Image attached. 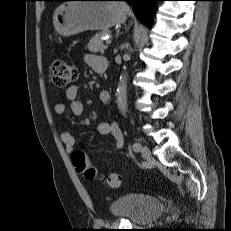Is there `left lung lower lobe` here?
<instances>
[{"label": "left lung lower lobe", "mask_w": 231, "mask_h": 231, "mask_svg": "<svg viewBox=\"0 0 231 231\" xmlns=\"http://www.w3.org/2000/svg\"><path fill=\"white\" fill-rule=\"evenodd\" d=\"M64 1V0H60ZM120 1H132L133 11L136 17L146 26H150L151 22V8H147L144 4L146 1H163V0H120Z\"/></svg>", "instance_id": "0a47b994"}]
</instances>
